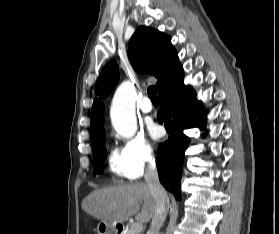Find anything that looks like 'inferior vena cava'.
Instances as JSON below:
<instances>
[{"instance_id":"602c4592","label":"inferior vena cava","mask_w":279,"mask_h":234,"mask_svg":"<svg viewBox=\"0 0 279 234\" xmlns=\"http://www.w3.org/2000/svg\"><path fill=\"white\" fill-rule=\"evenodd\" d=\"M146 184L155 199V211L152 217L151 226L147 234H159V230L164 223L169 208V198L163 186L159 182L156 163L150 159L144 175Z\"/></svg>"}]
</instances>
